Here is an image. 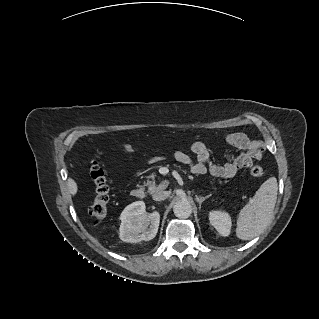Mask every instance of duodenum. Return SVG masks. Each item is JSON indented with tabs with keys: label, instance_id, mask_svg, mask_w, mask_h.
<instances>
[{
	"label": "duodenum",
	"instance_id": "obj_1",
	"mask_svg": "<svg viewBox=\"0 0 319 319\" xmlns=\"http://www.w3.org/2000/svg\"><path fill=\"white\" fill-rule=\"evenodd\" d=\"M132 197L135 199H143L145 197V190L143 188H135L131 192Z\"/></svg>",
	"mask_w": 319,
	"mask_h": 319
}]
</instances>
